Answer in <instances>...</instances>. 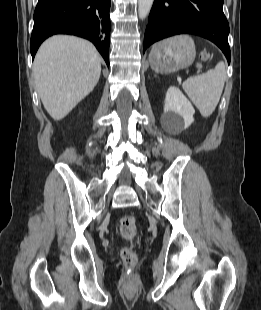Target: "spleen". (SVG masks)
I'll return each mask as SVG.
<instances>
[{"label":"spleen","mask_w":261,"mask_h":310,"mask_svg":"<svg viewBox=\"0 0 261 310\" xmlns=\"http://www.w3.org/2000/svg\"><path fill=\"white\" fill-rule=\"evenodd\" d=\"M226 79L224 62H219L212 70L201 75L188 78L182 87L187 96L205 118L214 112Z\"/></svg>","instance_id":"spleen-1"}]
</instances>
